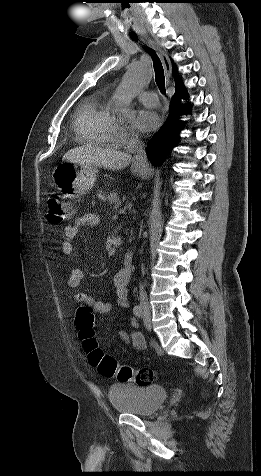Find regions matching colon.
<instances>
[{
	"mask_svg": "<svg viewBox=\"0 0 261 476\" xmlns=\"http://www.w3.org/2000/svg\"><path fill=\"white\" fill-rule=\"evenodd\" d=\"M73 215L72 206L60 195L53 194L47 198V219L53 225H60ZM95 312L90 305H81L76 312L75 325L88 355L90 363L105 377H116L119 381H133L138 385H148L155 380V372L149 368L135 369L103 352L94 336Z\"/></svg>",
	"mask_w": 261,
	"mask_h": 476,
	"instance_id": "colon-1",
	"label": "colon"
}]
</instances>
